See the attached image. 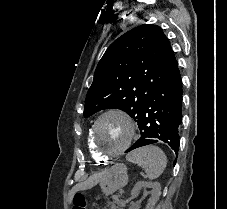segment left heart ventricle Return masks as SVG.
Masks as SVG:
<instances>
[{
	"label": "left heart ventricle",
	"mask_w": 227,
	"mask_h": 209,
	"mask_svg": "<svg viewBox=\"0 0 227 209\" xmlns=\"http://www.w3.org/2000/svg\"><path fill=\"white\" fill-rule=\"evenodd\" d=\"M130 133V125L123 117L118 114H109L97 126L96 141L103 152H113L127 142Z\"/></svg>",
	"instance_id": "left-heart-ventricle-1"
}]
</instances>
